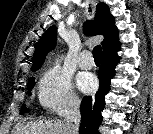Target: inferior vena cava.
Listing matches in <instances>:
<instances>
[{"label": "inferior vena cava", "mask_w": 153, "mask_h": 134, "mask_svg": "<svg viewBox=\"0 0 153 134\" xmlns=\"http://www.w3.org/2000/svg\"><path fill=\"white\" fill-rule=\"evenodd\" d=\"M64 134H78L81 114L80 101H72L64 114Z\"/></svg>", "instance_id": "1"}]
</instances>
